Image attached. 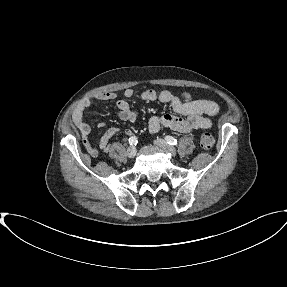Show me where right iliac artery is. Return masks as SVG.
Returning <instances> with one entry per match:
<instances>
[{
  "label": "right iliac artery",
  "mask_w": 287,
  "mask_h": 287,
  "mask_svg": "<svg viewBox=\"0 0 287 287\" xmlns=\"http://www.w3.org/2000/svg\"><path fill=\"white\" fill-rule=\"evenodd\" d=\"M128 142L130 145H136L138 142L137 137H135V136L130 137Z\"/></svg>",
  "instance_id": "right-iliac-artery-1"
}]
</instances>
